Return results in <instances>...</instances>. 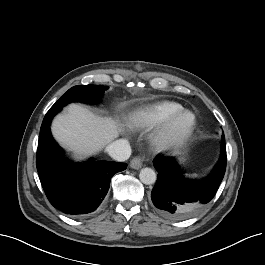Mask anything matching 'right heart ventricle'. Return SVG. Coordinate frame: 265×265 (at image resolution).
Listing matches in <instances>:
<instances>
[{"label":"right heart ventricle","instance_id":"obj_1","mask_svg":"<svg viewBox=\"0 0 265 265\" xmlns=\"http://www.w3.org/2000/svg\"><path fill=\"white\" fill-rule=\"evenodd\" d=\"M183 109L180 103L161 101L136 110L131 116V123L141 129H152L162 124L169 116Z\"/></svg>","mask_w":265,"mask_h":265}]
</instances>
